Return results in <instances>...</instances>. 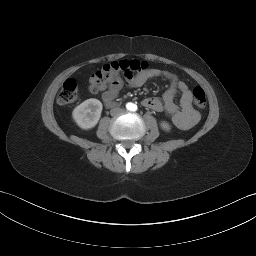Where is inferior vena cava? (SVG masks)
<instances>
[{
    "label": "inferior vena cava",
    "mask_w": 256,
    "mask_h": 256,
    "mask_svg": "<svg viewBox=\"0 0 256 256\" xmlns=\"http://www.w3.org/2000/svg\"><path fill=\"white\" fill-rule=\"evenodd\" d=\"M123 111V109L121 108H113L110 112H111V115H116L118 113H121Z\"/></svg>",
    "instance_id": "obj_1"
}]
</instances>
